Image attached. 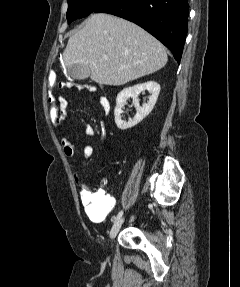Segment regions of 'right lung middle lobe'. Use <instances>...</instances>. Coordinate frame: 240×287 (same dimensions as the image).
<instances>
[{"label": "right lung middle lobe", "mask_w": 240, "mask_h": 287, "mask_svg": "<svg viewBox=\"0 0 240 287\" xmlns=\"http://www.w3.org/2000/svg\"><path fill=\"white\" fill-rule=\"evenodd\" d=\"M105 1L107 0H68V10L66 13L68 23L89 15Z\"/></svg>", "instance_id": "1"}]
</instances>
